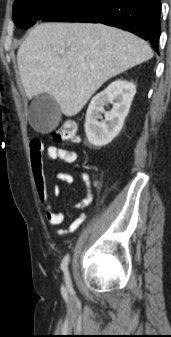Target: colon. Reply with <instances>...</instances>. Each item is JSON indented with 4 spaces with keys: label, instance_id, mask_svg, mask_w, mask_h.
<instances>
[{
    "label": "colon",
    "instance_id": "obj_1",
    "mask_svg": "<svg viewBox=\"0 0 171 337\" xmlns=\"http://www.w3.org/2000/svg\"><path fill=\"white\" fill-rule=\"evenodd\" d=\"M51 138L55 142L77 143L80 139L75 121L66 120L63 124L51 133Z\"/></svg>",
    "mask_w": 171,
    "mask_h": 337
}]
</instances>
